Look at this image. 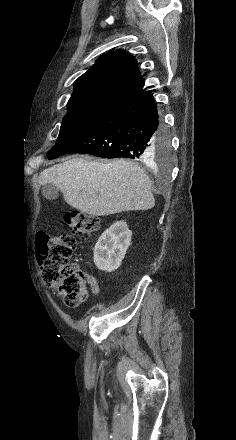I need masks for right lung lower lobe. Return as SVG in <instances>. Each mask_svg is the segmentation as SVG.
I'll list each match as a JSON object with an SVG mask.
<instances>
[{"label":"right lung lower lobe","instance_id":"98d812e1","mask_svg":"<svg viewBox=\"0 0 236 440\" xmlns=\"http://www.w3.org/2000/svg\"><path fill=\"white\" fill-rule=\"evenodd\" d=\"M163 134L152 91H144L113 108L88 129L48 152L50 159L68 153L103 158L149 161L156 139Z\"/></svg>","mask_w":236,"mask_h":440}]
</instances>
